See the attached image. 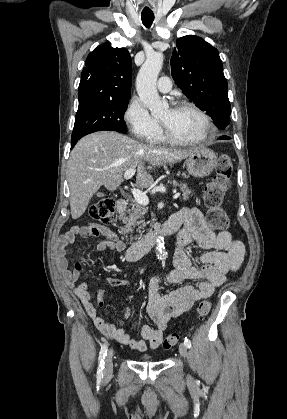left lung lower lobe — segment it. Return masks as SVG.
<instances>
[{"label": "left lung lower lobe", "mask_w": 287, "mask_h": 419, "mask_svg": "<svg viewBox=\"0 0 287 419\" xmlns=\"http://www.w3.org/2000/svg\"><path fill=\"white\" fill-rule=\"evenodd\" d=\"M219 139H231V138L227 135H222V136L219 137Z\"/></svg>", "instance_id": "left-lung-lower-lobe-1"}]
</instances>
